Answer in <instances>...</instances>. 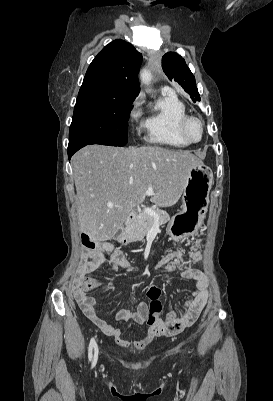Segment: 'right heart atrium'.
Listing matches in <instances>:
<instances>
[{
    "instance_id": "1",
    "label": "right heart atrium",
    "mask_w": 273,
    "mask_h": 401,
    "mask_svg": "<svg viewBox=\"0 0 273 401\" xmlns=\"http://www.w3.org/2000/svg\"><path fill=\"white\" fill-rule=\"evenodd\" d=\"M141 114H142V113H141V110H140V107H139V103H138V101L136 100V101H134V103H133V105H132V108H131V110H130V113H129V120H130V121H133L134 119L140 117Z\"/></svg>"
}]
</instances>
